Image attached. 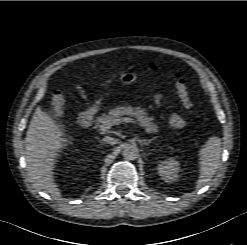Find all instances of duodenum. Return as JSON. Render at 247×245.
<instances>
[{
  "label": "duodenum",
  "mask_w": 247,
  "mask_h": 245,
  "mask_svg": "<svg viewBox=\"0 0 247 245\" xmlns=\"http://www.w3.org/2000/svg\"><path fill=\"white\" fill-rule=\"evenodd\" d=\"M96 114V110L93 108L86 109L82 111L78 116V124L81 127H88L91 125L94 115Z\"/></svg>",
  "instance_id": "1"
}]
</instances>
